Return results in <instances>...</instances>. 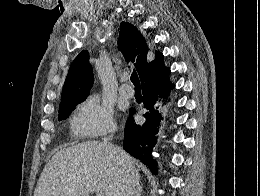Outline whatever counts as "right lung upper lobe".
I'll return each instance as SVG.
<instances>
[{"label":"right lung upper lobe","instance_id":"obj_1","mask_svg":"<svg viewBox=\"0 0 260 196\" xmlns=\"http://www.w3.org/2000/svg\"><path fill=\"white\" fill-rule=\"evenodd\" d=\"M118 49L127 62H132L137 70L141 83L154 80L167 73L170 69L164 65L162 53L156 51L155 59H150L151 49L145 38L135 26L121 22L118 38ZM93 84V70L89 63V53L84 50L74 59L62 91L59 110L70 103L86 98Z\"/></svg>","mask_w":260,"mask_h":196}]
</instances>
